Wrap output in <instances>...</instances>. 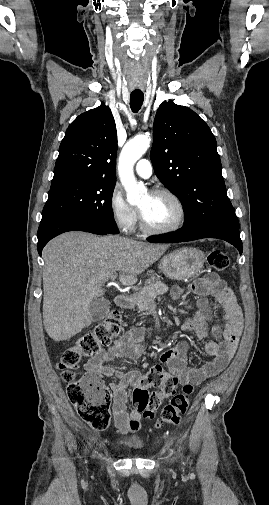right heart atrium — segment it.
I'll list each match as a JSON object with an SVG mask.
<instances>
[{
	"mask_svg": "<svg viewBox=\"0 0 269 505\" xmlns=\"http://www.w3.org/2000/svg\"><path fill=\"white\" fill-rule=\"evenodd\" d=\"M109 209L112 219L122 231L130 232L134 229L138 221L137 210L127 203L118 188H114L110 195Z\"/></svg>",
	"mask_w": 269,
	"mask_h": 505,
	"instance_id": "d8ad5b80",
	"label": "right heart atrium"
}]
</instances>
